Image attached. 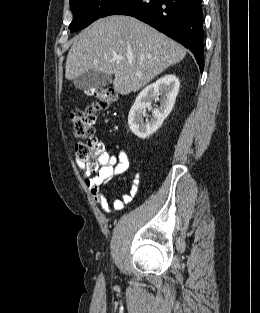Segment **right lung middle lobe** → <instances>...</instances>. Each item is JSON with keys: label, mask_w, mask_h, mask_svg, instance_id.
Here are the masks:
<instances>
[{"label": "right lung middle lobe", "mask_w": 260, "mask_h": 313, "mask_svg": "<svg viewBox=\"0 0 260 313\" xmlns=\"http://www.w3.org/2000/svg\"><path fill=\"white\" fill-rule=\"evenodd\" d=\"M119 0H70L73 21L71 32L82 30L104 14Z\"/></svg>", "instance_id": "obj_1"}]
</instances>
